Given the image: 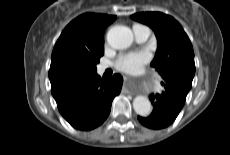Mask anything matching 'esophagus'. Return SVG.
I'll return each instance as SVG.
<instances>
[{
    "mask_svg": "<svg viewBox=\"0 0 230 155\" xmlns=\"http://www.w3.org/2000/svg\"><path fill=\"white\" fill-rule=\"evenodd\" d=\"M124 84H125V88H126L127 90H129V85L131 84V79H130V77L124 76Z\"/></svg>",
    "mask_w": 230,
    "mask_h": 155,
    "instance_id": "1",
    "label": "esophagus"
}]
</instances>
